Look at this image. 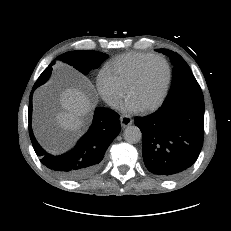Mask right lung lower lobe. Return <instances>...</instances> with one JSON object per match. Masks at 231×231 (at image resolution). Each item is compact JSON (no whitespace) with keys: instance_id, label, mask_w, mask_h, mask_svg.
<instances>
[{"instance_id":"1","label":"right lung lower lobe","mask_w":231,"mask_h":231,"mask_svg":"<svg viewBox=\"0 0 231 231\" xmlns=\"http://www.w3.org/2000/svg\"><path fill=\"white\" fill-rule=\"evenodd\" d=\"M29 99V133L33 148L41 163L67 179H80L94 173L100 166L104 154L120 132L119 115L106 108H97L89 131L70 152L53 156L42 149L31 128L32 94Z\"/></svg>"}]
</instances>
